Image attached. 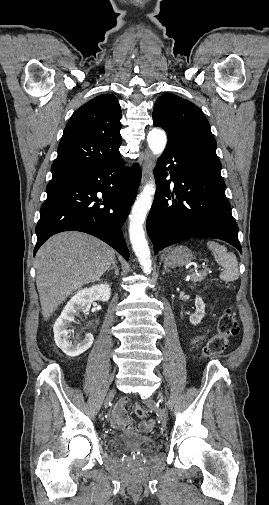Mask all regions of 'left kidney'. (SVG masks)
Returning a JSON list of instances; mask_svg holds the SVG:
<instances>
[{"mask_svg":"<svg viewBox=\"0 0 269 505\" xmlns=\"http://www.w3.org/2000/svg\"><path fill=\"white\" fill-rule=\"evenodd\" d=\"M195 307L196 312L190 316L189 321L192 325L196 326L200 324L202 318L205 316V303L198 295L195 298Z\"/></svg>","mask_w":269,"mask_h":505,"instance_id":"obj_1","label":"left kidney"}]
</instances>
